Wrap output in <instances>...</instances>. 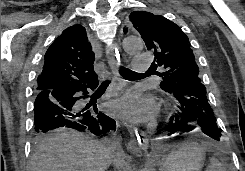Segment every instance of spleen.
Segmentation results:
<instances>
[{
    "label": "spleen",
    "instance_id": "3e777b00",
    "mask_svg": "<svg viewBox=\"0 0 245 171\" xmlns=\"http://www.w3.org/2000/svg\"><path fill=\"white\" fill-rule=\"evenodd\" d=\"M205 171H226L223 164L216 158L210 159V164Z\"/></svg>",
    "mask_w": 245,
    "mask_h": 171
}]
</instances>
